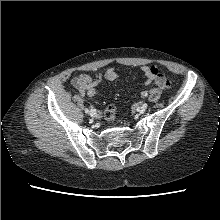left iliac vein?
I'll use <instances>...</instances> for the list:
<instances>
[{
    "mask_svg": "<svg viewBox=\"0 0 220 220\" xmlns=\"http://www.w3.org/2000/svg\"><path fill=\"white\" fill-rule=\"evenodd\" d=\"M148 105L146 103L142 104L140 109L141 111H145L147 109Z\"/></svg>",
    "mask_w": 220,
    "mask_h": 220,
    "instance_id": "1",
    "label": "left iliac vein"
}]
</instances>
